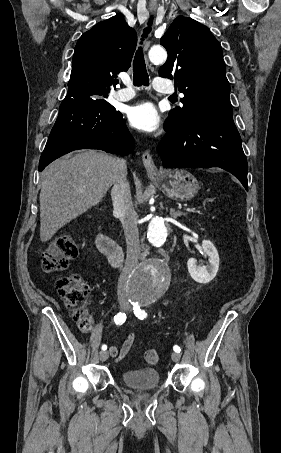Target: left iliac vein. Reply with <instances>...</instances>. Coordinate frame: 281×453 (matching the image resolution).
I'll return each mask as SVG.
<instances>
[{
    "label": "left iliac vein",
    "mask_w": 281,
    "mask_h": 453,
    "mask_svg": "<svg viewBox=\"0 0 281 453\" xmlns=\"http://www.w3.org/2000/svg\"><path fill=\"white\" fill-rule=\"evenodd\" d=\"M180 358H181L180 354H176V352H172V354H171L172 362H179Z\"/></svg>",
    "instance_id": "4c4485c4"
}]
</instances>
